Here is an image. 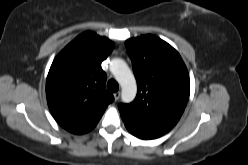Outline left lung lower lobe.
I'll use <instances>...</instances> for the list:
<instances>
[{
  "label": "left lung lower lobe",
  "instance_id": "0a47b994",
  "mask_svg": "<svg viewBox=\"0 0 248 165\" xmlns=\"http://www.w3.org/2000/svg\"><path fill=\"white\" fill-rule=\"evenodd\" d=\"M121 114V113H120ZM122 120L127 128V130L134 136L140 138V139H155L162 135H164L167 132H164L162 130L142 125L140 123H137L133 121L132 119L124 116L121 114Z\"/></svg>",
  "mask_w": 248,
  "mask_h": 165
}]
</instances>
